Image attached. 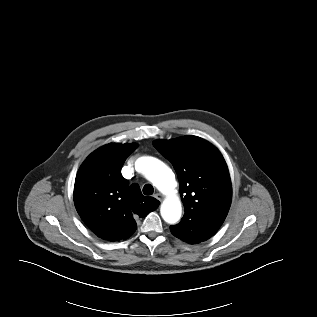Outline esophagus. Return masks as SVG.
Masks as SVG:
<instances>
[{
  "mask_svg": "<svg viewBox=\"0 0 317 317\" xmlns=\"http://www.w3.org/2000/svg\"><path fill=\"white\" fill-rule=\"evenodd\" d=\"M154 197H155L157 200H159V201H162V200H163V196H162L160 193H156V194L154 195Z\"/></svg>",
  "mask_w": 317,
  "mask_h": 317,
  "instance_id": "1",
  "label": "esophagus"
}]
</instances>
